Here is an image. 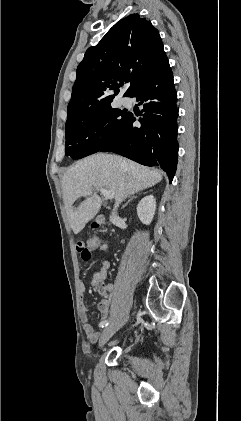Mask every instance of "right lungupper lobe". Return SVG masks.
I'll list each match as a JSON object with an SVG mask.
<instances>
[{"label": "right lung upper lobe", "instance_id": "obj_1", "mask_svg": "<svg viewBox=\"0 0 241 421\" xmlns=\"http://www.w3.org/2000/svg\"><path fill=\"white\" fill-rule=\"evenodd\" d=\"M166 57L158 30L138 14L115 24L77 67L66 125L111 106L124 81L134 90Z\"/></svg>", "mask_w": 241, "mask_h": 421}]
</instances>
